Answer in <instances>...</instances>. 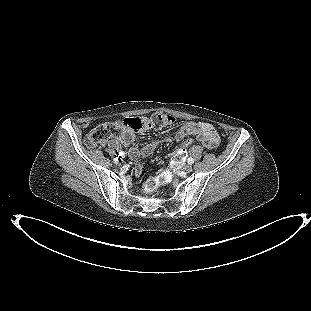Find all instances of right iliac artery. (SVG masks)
Here are the masks:
<instances>
[{"instance_id":"1","label":"right iliac artery","mask_w":311,"mask_h":311,"mask_svg":"<svg viewBox=\"0 0 311 311\" xmlns=\"http://www.w3.org/2000/svg\"><path fill=\"white\" fill-rule=\"evenodd\" d=\"M119 156H121L122 158H124L125 157V153L124 152H120L119 153ZM117 161V158L115 159V162Z\"/></svg>"}]
</instances>
